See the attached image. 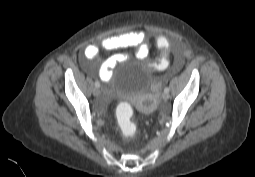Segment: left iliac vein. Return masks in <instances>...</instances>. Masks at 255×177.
<instances>
[{"label":"left iliac vein","instance_id":"obj_1","mask_svg":"<svg viewBox=\"0 0 255 177\" xmlns=\"http://www.w3.org/2000/svg\"><path fill=\"white\" fill-rule=\"evenodd\" d=\"M169 97H170L169 92H163V94H162L163 100H168Z\"/></svg>","mask_w":255,"mask_h":177}]
</instances>
